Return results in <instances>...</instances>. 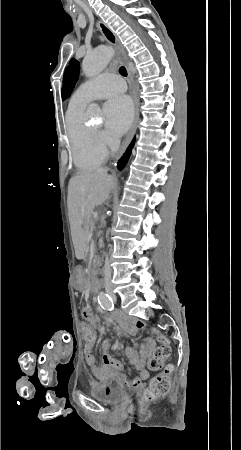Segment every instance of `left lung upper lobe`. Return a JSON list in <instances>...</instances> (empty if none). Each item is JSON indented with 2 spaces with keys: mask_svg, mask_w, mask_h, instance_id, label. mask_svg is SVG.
<instances>
[{
  "mask_svg": "<svg viewBox=\"0 0 241 450\" xmlns=\"http://www.w3.org/2000/svg\"><path fill=\"white\" fill-rule=\"evenodd\" d=\"M79 62L76 59H71L69 66L66 68L63 77L62 99L68 98L73 91L75 83L79 77Z\"/></svg>",
  "mask_w": 241,
  "mask_h": 450,
  "instance_id": "1",
  "label": "left lung upper lobe"
}]
</instances>
